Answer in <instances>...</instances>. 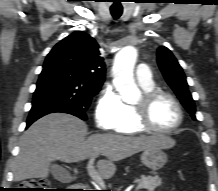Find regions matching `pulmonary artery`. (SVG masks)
<instances>
[{
  "label": "pulmonary artery",
  "instance_id": "pulmonary-artery-1",
  "mask_svg": "<svg viewBox=\"0 0 218 191\" xmlns=\"http://www.w3.org/2000/svg\"><path fill=\"white\" fill-rule=\"evenodd\" d=\"M136 78L140 85L145 86L151 84L153 82L151 68L144 63L139 64L137 68Z\"/></svg>",
  "mask_w": 218,
  "mask_h": 191
}]
</instances>
